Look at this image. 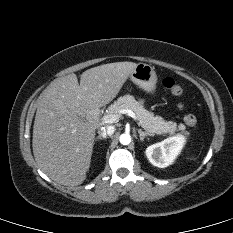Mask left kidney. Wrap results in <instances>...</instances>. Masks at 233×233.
<instances>
[{"instance_id": "obj_1", "label": "left kidney", "mask_w": 233, "mask_h": 233, "mask_svg": "<svg viewBox=\"0 0 233 233\" xmlns=\"http://www.w3.org/2000/svg\"><path fill=\"white\" fill-rule=\"evenodd\" d=\"M184 137H170L146 149V155L151 164L159 168L169 166L180 153L184 145Z\"/></svg>"}]
</instances>
